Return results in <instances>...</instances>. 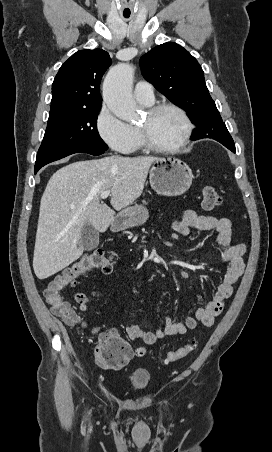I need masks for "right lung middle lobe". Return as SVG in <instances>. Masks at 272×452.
<instances>
[{"instance_id":"dd1d6c3e","label":"right lung middle lobe","mask_w":272,"mask_h":452,"mask_svg":"<svg viewBox=\"0 0 272 452\" xmlns=\"http://www.w3.org/2000/svg\"><path fill=\"white\" fill-rule=\"evenodd\" d=\"M100 108L50 114L37 157L57 154L72 148L106 151L107 145L97 131Z\"/></svg>"}]
</instances>
